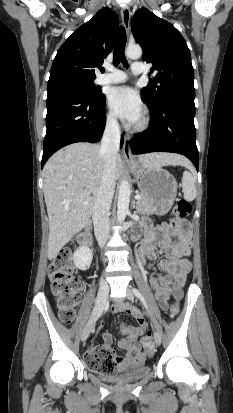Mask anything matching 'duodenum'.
Instances as JSON below:
<instances>
[{"label":"duodenum","instance_id":"duodenum-1","mask_svg":"<svg viewBox=\"0 0 233 413\" xmlns=\"http://www.w3.org/2000/svg\"><path fill=\"white\" fill-rule=\"evenodd\" d=\"M80 242L84 246H90L92 243L91 235L88 232L84 233L80 238Z\"/></svg>","mask_w":233,"mask_h":413}]
</instances>
